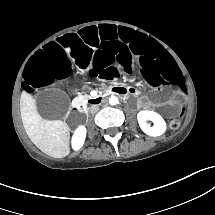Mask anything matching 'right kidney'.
Segmentation results:
<instances>
[{
  "label": "right kidney",
  "mask_w": 215,
  "mask_h": 215,
  "mask_svg": "<svg viewBox=\"0 0 215 215\" xmlns=\"http://www.w3.org/2000/svg\"><path fill=\"white\" fill-rule=\"evenodd\" d=\"M86 138V128L85 126H80L76 129L72 137V147L74 150L80 149Z\"/></svg>",
  "instance_id": "right-kidney-1"
}]
</instances>
